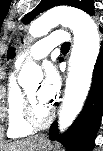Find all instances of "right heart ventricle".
Segmentation results:
<instances>
[{
	"instance_id": "1",
	"label": "right heart ventricle",
	"mask_w": 103,
	"mask_h": 151,
	"mask_svg": "<svg viewBox=\"0 0 103 151\" xmlns=\"http://www.w3.org/2000/svg\"><path fill=\"white\" fill-rule=\"evenodd\" d=\"M19 66L20 64L16 63L15 69L10 74L6 94L7 136L13 139L26 137L33 132V128L27 125L23 117V89L16 79V70Z\"/></svg>"
}]
</instances>
